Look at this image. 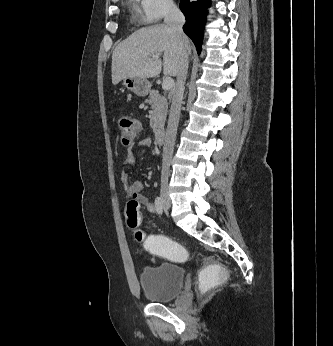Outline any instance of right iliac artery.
Segmentation results:
<instances>
[{"label": "right iliac artery", "mask_w": 333, "mask_h": 346, "mask_svg": "<svg viewBox=\"0 0 333 346\" xmlns=\"http://www.w3.org/2000/svg\"><path fill=\"white\" fill-rule=\"evenodd\" d=\"M155 207H156L157 213L158 214H162V212H163V202H162L161 197H157L155 199Z\"/></svg>", "instance_id": "82829eb1"}]
</instances>
